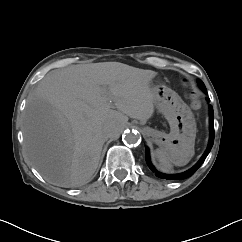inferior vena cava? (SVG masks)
<instances>
[{"mask_svg":"<svg viewBox=\"0 0 242 242\" xmlns=\"http://www.w3.org/2000/svg\"><path fill=\"white\" fill-rule=\"evenodd\" d=\"M122 129V124L118 120L110 121L107 125L106 128L104 129V134L107 137L114 138L118 135V133Z\"/></svg>","mask_w":242,"mask_h":242,"instance_id":"1","label":"inferior vena cava"}]
</instances>
